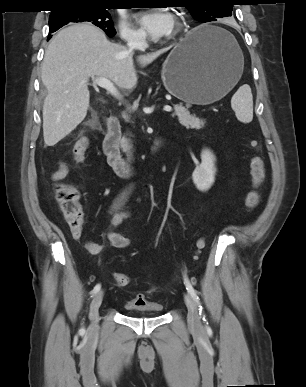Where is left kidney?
<instances>
[{
	"label": "left kidney",
	"mask_w": 306,
	"mask_h": 387,
	"mask_svg": "<svg viewBox=\"0 0 306 387\" xmlns=\"http://www.w3.org/2000/svg\"><path fill=\"white\" fill-rule=\"evenodd\" d=\"M215 157L209 150H203L201 153V164L195 168L192 173V179L201 191L208 190L215 181Z\"/></svg>",
	"instance_id": "5707ae66"
}]
</instances>
